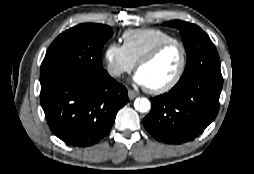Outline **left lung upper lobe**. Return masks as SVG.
<instances>
[{"label": "left lung upper lobe", "mask_w": 254, "mask_h": 174, "mask_svg": "<svg viewBox=\"0 0 254 174\" xmlns=\"http://www.w3.org/2000/svg\"><path fill=\"white\" fill-rule=\"evenodd\" d=\"M165 25L180 30L187 53L186 68L177 84H185L205 76L222 77L216 47L200 27L179 20L167 22Z\"/></svg>", "instance_id": "left-lung-upper-lobe-1"}]
</instances>
